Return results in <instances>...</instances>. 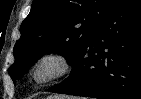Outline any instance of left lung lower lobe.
<instances>
[{
    "instance_id": "left-lung-lower-lobe-1",
    "label": "left lung lower lobe",
    "mask_w": 141,
    "mask_h": 99,
    "mask_svg": "<svg viewBox=\"0 0 141 99\" xmlns=\"http://www.w3.org/2000/svg\"><path fill=\"white\" fill-rule=\"evenodd\" d=\"M49 91L141 99V0H118L92 33L69 77Z\"/></svg>"
}]
</instances>
